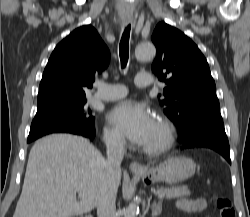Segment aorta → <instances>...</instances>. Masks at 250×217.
I'll list each match as a JSON object with an SVG mask.
<instances>
[{"label": "aorta", "instance_id": "aorta-1", "mask_svg": "<svg viewBox=\"0 0 250 217\" xmlns=\"http://www.w3.org/2000/svg\"><path fill=\"white\" fill-rule=\"evenodd\" d=\"M156 50L151 43H142L135 50L137 59H150L155 56ZM138 214V206L135 202H131L126 208L124 217H136Z\"/></svg>", "mask_w": 250, "mask_h": 217}]
</instances>
